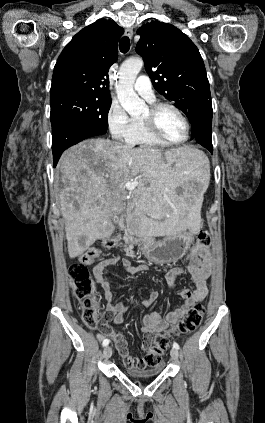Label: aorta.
<instances>
[{
  "label": "aorta",
  "instance_id": "762f6f07",
  "mask_svg": "<svg viewBox=\"0 0 265 423\" xmlns=\"http://www.w3.org/2000/svg\"><path fill=\"white\" fill-rule=\"evenodd\" d=\"M143 67L141 58H131L122 63L119 69V81L116 86L118 100L130 116H137L146 109L145 102L133 89L135 79Z\"/></svg>",
  "mask_w": 265,
  "mask_h": 423
}]
</instances>
